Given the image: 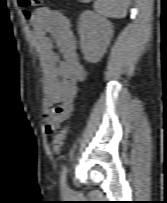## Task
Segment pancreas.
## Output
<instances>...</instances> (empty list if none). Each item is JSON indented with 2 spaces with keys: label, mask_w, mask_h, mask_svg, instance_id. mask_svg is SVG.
Returning a JSON list of instances; mask_svg holds the SVG:
<instances>
[{
  "label": "pancreas",
  "mask_w": 167,
  "mask_h": 203,
  "mask_svg": "<svg viewBox=\"0 0 167 203\" xmlns=\"http://www.w3.org/2000/svg\"><path fill=\"white\" fill-rule=\"evenodd\" d=\"M81 2H88L87 0H80Z\"/></svg>",
  "instance_id": "obj_1"
}]
</instances>
